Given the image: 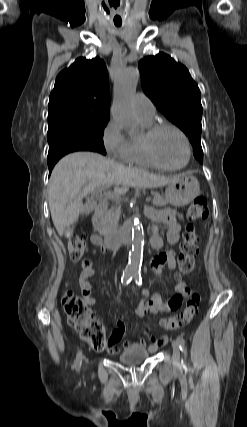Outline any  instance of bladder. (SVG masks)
Masks as SVG:
<instances>
[{"label": "bladder", "mask_w": 247, "mask_h": 427, "mask_svg": "<svg viewBox=\"0 0 247 427\" xmlns=\"http://www.w3.org/2000/svg\"><path fill=\"white\" fill-rule=\"evenodd\" d=\"M149 357V352L142 347H131L122 351L118 360L125 365H134L143 362Z\"/></svg>", "instance_id": "1"}]
</instances>
